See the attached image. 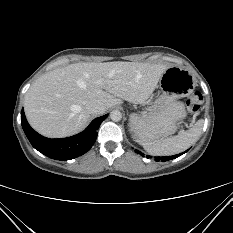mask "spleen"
<instances>
[{
	"label": "spleen",
	"instance_id": "obj_1",
	"mask_svg": "<svg viewBox=\"0 0 233 233\" xmlns=\"http://www.w3.org/2000/svg\"><path fill=\"white\" fill-rule=\"evenodd\" d=\"M203 127V121L198 120L194 127L176 136L165 138L161 141L148 142L136 132L137 141L144 150L155 156H169L181 153L188 149L199 138Z\"/></svg>",
	"mask_w": 233,
	"mask_h": 233
}]
</instances>
